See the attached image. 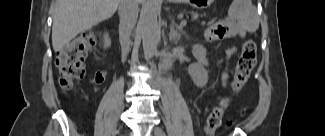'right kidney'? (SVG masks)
Instances as JSON below:
<instances>
[{
  "label": "right kidney",
  "mask_w": 325,
  "mask_h": 136,
  "mask_svg": "<svg viewBox=\"0 0 325 136\" xmlns=\"http://www.w3.org/2000/svg\"><path fill=\"white\" fill-rule=\"evenodd\" d=\"M110 44H111V41H110L108 35H105L104 36V47L107 48L110 46Z\"/></svg>",
  "instance_id": "ca27d5eb"
}]
</instances>
